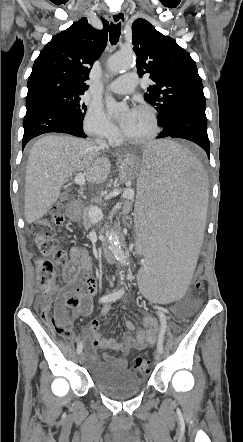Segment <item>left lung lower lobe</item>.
<instances>
[{"label": "left lung lower lobe", "mask_w": 243, "mask_h": 442, "mask_svg": "<svg viewBox=\"0 0 243 442\" xmlns=\"http://www.w3.org/2000/svg\"><path fill=\"white\" fill-rule=\"evenodd\" d=\"M205 97H190L177 103L160 124L163 132L157 138L173 137L190 140L210 155L205 115Z\"/></svg>", "instance_id": "0a47b994"}]
</instances>
